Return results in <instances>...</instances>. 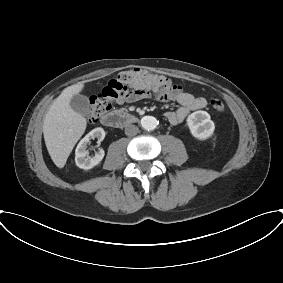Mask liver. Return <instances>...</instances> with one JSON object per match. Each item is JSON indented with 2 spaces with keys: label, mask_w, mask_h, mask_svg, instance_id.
I'll return each instance as SVG.
<instances>
[{
  "label": "liver",
  "mask_w": 283,
  "mask_h": 283,
  "mask_svg": "<svg viewBox=\"0 0 283 283\" xmlns=\"http://www.w3.org/2000/svg\"><path fill=\"white\" fill-rule=\"evenodd\" d=\"M84 88L79 82L64 89L43 120V135L48 153L58 168H63L75 144L86 129V119L75 112L70 101Z\"/></svg>",
  "instance_id": "1"
}]
</instances>
